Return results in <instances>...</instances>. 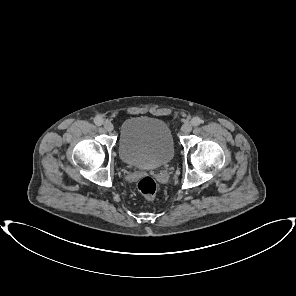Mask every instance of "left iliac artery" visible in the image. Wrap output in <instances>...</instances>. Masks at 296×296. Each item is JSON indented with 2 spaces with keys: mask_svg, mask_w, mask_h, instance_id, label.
Here are the masks:
<instances>
[{
  "mask_svg": "<svg viewBox=\"0 0 296 296\" xmlns=\"http://www.w3.org/2000/svg\"><path fill=\"white\" fill-rule=\"evenodd\" d=\"M203 123V120L201 119V118H199V117H195V118H193L192 120H191V124L193 125V126H198V125H200V124H202Z\"/></svg>",
  "mask_w": 296,
  "mask_h": 296,
  "instance_id": "left-iliac-artery-1",
  "label": "left iliac artery"
}]
</instances>
